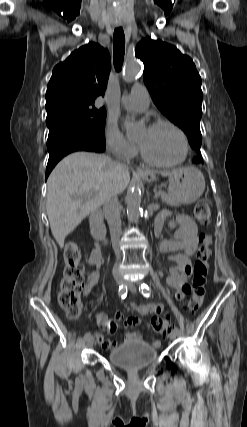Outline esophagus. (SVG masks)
Listing matches in <instances>:
<instances>
[{
	"mask_svg": "<svg viewBox=\"0 0 247 427\" xmlns=\"http://www.w3.org/2000/svg\"><path fill=\"white\" fill-rule=\"evenodd\" d=\"M138 171H139V172H142V173H149V171H148V170L143 169V168H138Z\"/></svg>",
	"mask_w": 247,
	"mask_h": 427,
	"instance_id": "esophagus-1",
	"label": "esophagus"
}]
</instances>
